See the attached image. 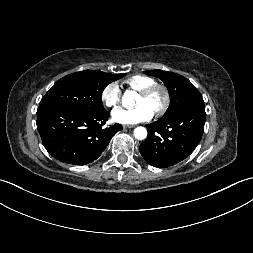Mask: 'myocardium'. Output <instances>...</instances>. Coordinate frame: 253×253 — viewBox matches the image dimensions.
Masks as SVG:
<instances>
[{"mask_svg": "<svg viewBox=\"0 0 253 253\" xmlns=\"http://www.w3.org/2000/svg\"><path fill=\"white\" fill-rule=\"evenodd\" d=\"M156 93H161L163 96V101L159 107H157L154 111L155 116H162L169 108L170 103H171V96L168 88L159 83H155L143 90L139 91V94L145 98H151L153 97Z\"/></svg>", "mask_w": 253, "mask_h": 253, "instance_id": "f54148a6", "label": "myocardium"}]
</instances>
